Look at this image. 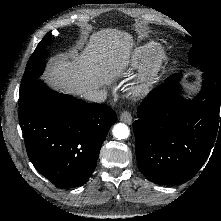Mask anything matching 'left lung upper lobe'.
I'll list each match as a JSON object with an SVG mask.
<instances>
[{
	"label": "left lung upper lobe",
	"mask_w": 221,
	"mask_h": 221,
	"mask_svg": "<svg viewBox=\"0 0 221 221\" xmlns=\"http://www.w3.org/2000/svg\"><path fill=\"white\" fill-rule=\"evenodd\" d=\"M187 39L190 40L188 37ZM188 61L191 66L200 69L202 72L214 73L208 58L196 43H193V47L190 49Z\"/></svg>",
	"instance_id": "obj_1"
}]
</instances>
